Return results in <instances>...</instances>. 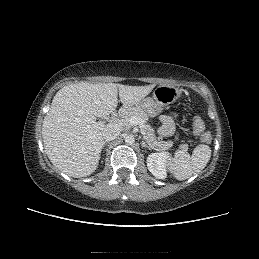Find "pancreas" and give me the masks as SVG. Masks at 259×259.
Listing matches in <instances>:
<instances>
[{"mask_svg":"<svg viewBox=\"0 0 259 259\" xmlns=\"http://www.w3.org/2000/svg\"><path fill=\"white\" fill-rule=\"evenodd\" d=\"M119 116H120L122 125H124V126L129 125L128 120L132 117H137L144 123H147V121H148V115L144 111L136 109V108L123 109L120 112ZM145 128L147 130L146 135H147L148 143L154 150L163 151V150H167L170 147H172V145H173L172 141H167V142L158 141L154 134V130L150 125H147ZM179 148L186 151V150H188V145L186 143L181 144L179 146Z\"/></svg>","mask_w":259,"mask_h":259,"instance_id":"cf45deb5","label":"pancreas"}]
</instances>
